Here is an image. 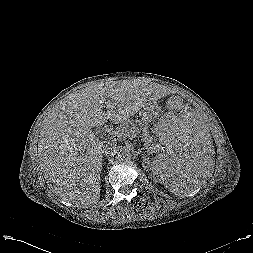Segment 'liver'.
I'll return each instance as SVG.
<instances>
[{"label":"liver","mask_w":253,"mask_h":253,"mask_svg":"<svg viewBox=\"0 0 253 253\" xmlns=\"http://www.w3.org/2000/svg\"><path fill=\"white\" fill-rule=\"evenodd\" d=\"M157 88L129 80L97 83L60 102L43 120L38 146L40 166L55 195L81 208L98 203L102 145L91 128L127 121L157 99Z\"/></svg>","instance_id":"obj_1"}]
</instances>
